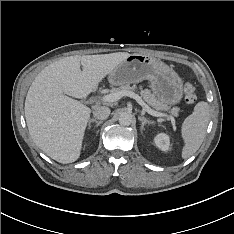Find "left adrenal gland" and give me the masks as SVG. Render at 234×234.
Here are the masks:
<instances>
[{"mask_svg": "<svg viewBox=\"0 0 234 234\" xmlns=\"http://www.w3.org/2000/svg\"><path fill=\"white\" fill-rule=\"evenodd\" d=\"M138 120L141 122V130L144 129L145 124H154V121L147 120L145 117L139 116Z\"/></svg>", "mask_w": 234, "mask_h": 234, "instance_id": "obj_1", "label": "left adrenal gland"}]
</instances>
